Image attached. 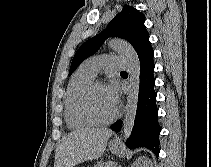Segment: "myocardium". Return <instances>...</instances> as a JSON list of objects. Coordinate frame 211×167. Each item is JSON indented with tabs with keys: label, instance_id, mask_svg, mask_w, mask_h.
<instances>
[{
	"label": "myocardium",
	"instance_id": "f54148a6",
	"mask_svg": "<svg viewBox=\"0 0 211 167\" xmlns=\"http://www.w3.org/2000/svg\"><path fill=\"white\" fill-rule=\"evenodd\" d=\"M103 84L99 81L93 80L83 91L80 99V109L83 115L94 125H107L113 122L118 117V110H115L114 114L107 119H100L94 115L90 108V96L96 86Z\"/></svg>",
	"mask_w": 211,
	"mask_h": 167
}]
</instances>
